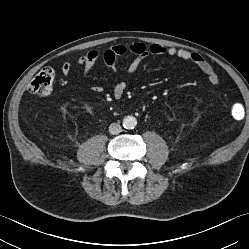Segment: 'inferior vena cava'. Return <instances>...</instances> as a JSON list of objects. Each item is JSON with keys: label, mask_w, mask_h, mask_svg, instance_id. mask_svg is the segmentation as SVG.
Listing matches in <instances>:
<instances>
[{"label": "inferior vena cava", "mask_w": 249, "mask_h": 249, "mask_svg": "<svg viewBox=\"0 0 249 249\" xmlns=\"http://www.w3.org/2000/svg\"><path fill=\"white\" fill-rule=\"evenodd\" d=\"M122 131V127L120 126V124L117 123H112L109 126V132L113 135H117Z\"/></svg>", "instance_id": "602c4592"}]
</instances>
